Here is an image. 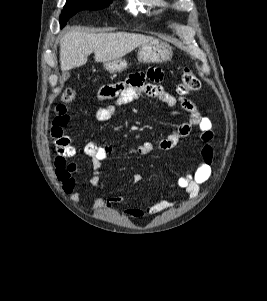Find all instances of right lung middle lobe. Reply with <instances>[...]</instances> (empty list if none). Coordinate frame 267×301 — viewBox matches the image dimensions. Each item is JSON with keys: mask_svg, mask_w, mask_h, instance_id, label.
Instances as JSON below:
<instances>
[{"mask_svg": "<svg viewBox=\"0 0 267 301\" xmlns=\"http://www.w3.org/2000/svg\"><path fill=\"white\" fill-rule=\"evenodd\" d=\"M112 0H67L64 6L61 16L60 25L65 26L66 22L72 17L77 11L83 9L97 10L108 6Z\"/></svg>", "mask_w": 267, "mask_h": 301, "instance_id": "right-lung-middle-lobe-1", "label": "right lung middle lobe"}]
</instances>
